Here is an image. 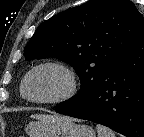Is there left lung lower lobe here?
Segmentation results:
<instances>
[{
	"label": "left lung lower lobe",
	"mask_w": 144,
	"mask_h": 137,
	"mask_svg": "<svg viewBox=\"0 0 144 137\" xmlns=\"http://www.w3.org/2000/svg\"><path fill=\"white\" fill-rule=\"evenodd\" d=\"M56 112L108 126L126 137H144V29L83 97Z\"/></svg>",
	"instance_id": "1"
}]
</instances>
